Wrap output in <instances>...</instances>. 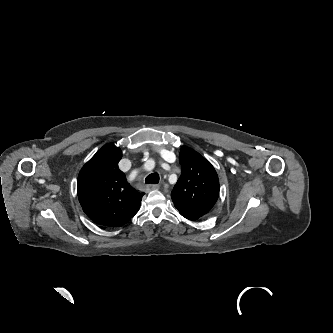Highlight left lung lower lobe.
I'll use <instances>...</instances> for the list:
<instances>
[{
    "label": "left lung lower lobe",
    "instance_id": "left-lung-lower-lobe-1",
    "mask_svg": "<svg viewBox=\"0 0 333 333\" xmlns=\"http://www.w3.org/2000/svg\"><path fill=\"white\" fill-rule=\"evenodd\" d=\"M185 218L189 219V220H196L198 218L196 217H192V216H187V215H184Z\"/></svg>",
    "mask_w": 333,
    "mask_h": 333
}]
</instances>
